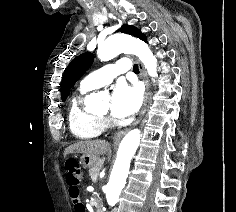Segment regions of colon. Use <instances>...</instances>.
<instances>
[{"instance_id":"colon-1","label":"colon","mask_w":236,"mask_h":212,"mask_svg":"<svg viewBox=\"0 0 236 212\" xmlns=\"http://www.w3.org/2000/svg\"><path fill=\"white\" fill-rule=\"evenodd\" d=\"M66 181L70 182V179H79V185L84 180V173L79 163L75 160H69L66 163Z\"/></svg>"}]
</instances>
